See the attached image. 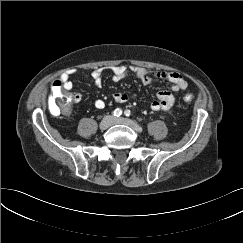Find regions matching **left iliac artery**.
<instances>
[{
    "label": "left iliac artery",
    "instance_id": "1",
    "mask_svg": "<svg viewBox=\"0 0 243 243\" xmlns=\"http://www.w3.org/2000/svg\"><path fill=\"white\" fill-rule=\"evenodd\" d=\"M124 114H125V116H130L131 112H130V110H125Z\"/></svg>",
    "mask_w": 243,
    "mask_h": 243
}]
</instances>
